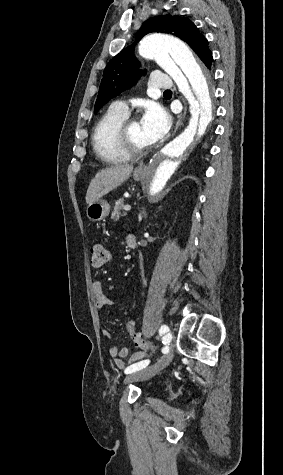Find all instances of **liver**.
Returning <instances> with one entry per match:
<instances>
[{
    "label": "liver",
    "instance_id": "liver-1",
    "mask_svg": "<svg viewBox=\"0 0 283 475\" xmlns=\"http://www.w3.org/2000/svg\"><path fill=\"white\" fill-rule=\"evenodd\" d=\"M133 166L131 164H114L109 168H104L101 172L96 174L95 178L91 180L86 194V204H93L97 202L111 190L118 188L125 180H128Z\"/></svg>",
    "mask_w": 283,
    "mask_h": 475
}]
</instances>
